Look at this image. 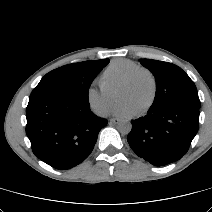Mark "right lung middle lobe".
I'll return each instance as SVG.
<instances>
[{"label": "right lung middle lobe", "mask_w": 212, "mask_h": 212, "mask_svg": "<svg viewBox=\"0 0 212 212\" xmlns=\"http://www.w3.org/2000/svg\"><path fill=\"white\" fill-rule=\"evenodd\" d=\"M109 61H84L52 70L33 89L30 98L41 95L65 96L89 104L90 85Z\"/></svg>", "instance_id": "1"}]
</instances>
